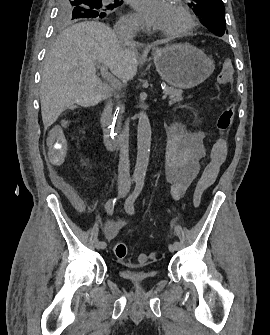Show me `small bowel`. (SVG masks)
<instances>
[{"label": "small bowel", "mask_w": 270, "mask_h": 335, "mask_svg": "<svg viewBox=\"0 0 270 335\" xmlns=\"http://www.w3.org/2000/svg\"><path fill=\"white\" fill-rule=\"evenodd\" d=\"M70 125V120L62 121L49 138L50 149H46V156H65V149L60 145H66L63 131ZM205 156L203 134L201 132H188L183 124L175 123L168 128V148L165 160V176L172 183L171 197L174 201L183 197L192 180L200 169V161ZM52 165H59V158L51 159ZM116 225L106 223L104 233L111 237Z\"/></svg>", "instance_id": "1"}]
</instances>
